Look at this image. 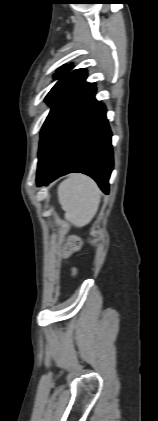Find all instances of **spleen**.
Listing matches in <instances>:
<instances>
[{"label": "spleen", "mask_w": 158, "mask_h": 421, "mask_svg": "<svg viewBox=\"0 0 158 421\" xmlns=\"http://www.w3.org/2000/svg\"><path fill=\"white\" fill-rule=\"evenodd\" d=\"M58 199L65 219L77 227L88 224L98 211L100 190L82 174H72L58 186Z\"/></svg>", "instance_id": "spleen-1"}]
</instances>
